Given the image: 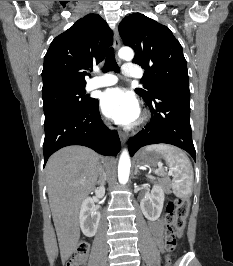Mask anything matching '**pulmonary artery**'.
Returning <instances> with one entry per match:
<instances>
[{"label":"pulmonary artery","instance_id":"obj_1","mask_svg":"<svg viewBox=\"0 0 233 266\" xmlns=\"http://www.w3.org/2000/svg\"><path fill=\"white\" fill-rule=\"evenodd\" d=\"M123 74L128 77H139L140 72L137 67L133 64H126L123 66ZM118 81L117 77L113 74H103L91 79L87 85V90H93L101 87L111 86L116 84Z\"/></svg>","mask_w":233,"mask_h":266}]
</instances>
